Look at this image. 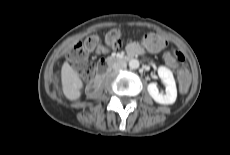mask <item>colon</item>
I'll return each instance as SVG.
<instances>
[{
    "mask_svg": "<svg viewBox=\"0 0 230 155\" xmlns=\"http://www.w3.org/2000/svg\"><path fill=\"white\" fill-rule=\"evenodd\" d=\"M146 39L155 45L163 46L165 44L163 38L155 33L146 36ZM122 34L118 29L110 30L105 35V44L108 47L117 49L122 45ZM99 44L97 36H89L86 39L77 42L68 52V58L75 64L79 74L85 77H91L95 72L94 63L87 60V54L89 51L94 50ZM174 57L181 66L179 69V79L177 88L181 92H185L188 89V75L189 69L184 67L186 65V59L182 52L176 50L173 52Z\"/></svg>",
    "mask_w": 230,
    "mask_h": 155,
    "instance_id": "colon-1",
    "label": "colon"
}]
</instances>
